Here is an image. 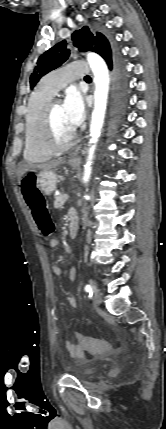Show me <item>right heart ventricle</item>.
Returning <instances> with one entry per match:
<instances>
[{
	"label": "right heart ventricle",
	"instance_id": "right-heart-ventricle-1",
	"mask_svg": "<svg viewBox=\"0 0 166 429\" xmlns=\"http://www.w3.org/2000/svg\"><path fill=\"white\" fill-rule=\"evenodd\" d=\"M53 94L38 87L30 96L25 113L24 159L32 163L49 160L52 152L44 147L41 141V119L46 104Z\"/></svg>",
	"mask_w": 166,
	"mask_h": 429
}]
</instances>
